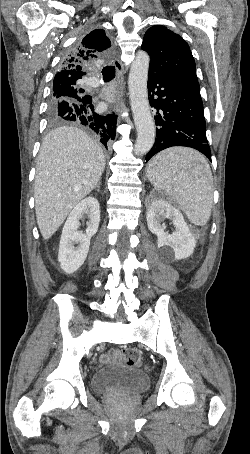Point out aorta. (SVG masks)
Masks as SVG:
<instances>
[{
	"label": "aorta",
	"instance_id": "762f6f07",
	"mask_svg": "<svg viewBox=\"0 0 250 454\" xmlns=\"http://www.w3.org/2000/svg\"><path fill=\"white\" fill-rule=\"evenodd\" d=\"M149 62V55L145 51H138L132 62L128 79L130 105L137 130L134 153L138 156L150 151L155 141V124L150 111L147 90Z\"/></svg>",
	"mask_w": 250,
	"mask_h": 454
}]
</instances>
